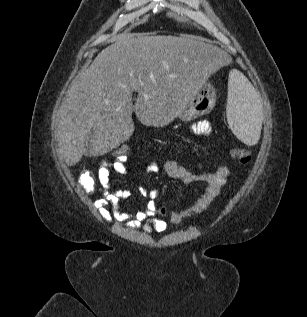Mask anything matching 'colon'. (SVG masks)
Returning <instances> with one entry per match:
<instances>
[{
	"instance_id": "5ec220e1",
	"label": "colon",
	"mask_w": 307,
	"mask_h": 317,
	"mask_svg": "<svg viewBox=\"0 0 307 317\" xmlns=\"http://www.w3.org/2000/svg\"><path fill=\"white\" fill-rule=\"evenodd\" d=\"M137 152V148L127 144H119L117 145L110 154L114 157V159H124L129 161L131 155ZM232 156L236 162L241 165H247L251 161V154L246 149L235 148L232 150ZM165 159L158 160L159 162H163ZM80 184L85 190L86 193L91 194L94 193L97 189V179L94 174L90 170H84L80 176ZM164 213V209L162 210Z\"/></svg>"
}]
</instances>
